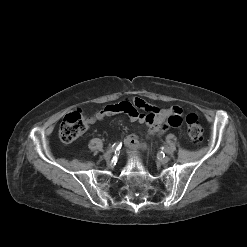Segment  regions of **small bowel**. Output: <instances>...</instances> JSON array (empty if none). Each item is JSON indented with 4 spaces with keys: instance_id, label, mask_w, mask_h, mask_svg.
<instances>
[{
    "instance_id": "c3829d8e",
    "label": "small bowel",
    "mask_w": 247,
    "mask_h": 247,
    "mask_svg": "<svg viewBox=\"0 0 247 247\" xmlns=\"http://www.w3.org/2000/svg\"><path fill=\"white\" fill-rule=\"evenodd\" d=\"M139 110H144L146 113H142ZM119 113H125L132 122L146 125L147 134L155 136L163 134L169 127L179 128L182 123L183 110L179 106L160 109L141 98H133L107 105L95 111L87 118V124H93L103 120L105 117ZM124 142L130 149L144 147V144L136 135L127 136Z\"/></svg>"
}]
</instances>
